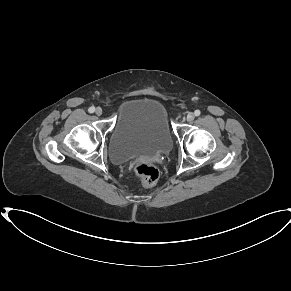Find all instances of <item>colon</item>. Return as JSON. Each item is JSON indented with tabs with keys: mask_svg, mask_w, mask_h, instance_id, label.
Instances as JSON below:
<instances>
[{
	"mask_svg": "<svg viewBox=\"0 0 291 291\" xmlns=\"http://www.w3.org/2000/svg\"><path fill=\"white\" fill-rule=\"evenodd\" d=\"M135 173L142 179L147 186L154 185L159 179V170L152 165L138 163L134 168Z\"/></svg>",
	"mask_w": 291,
	"mask_h": 291,
	"instance_id": "1",
	"label": "colon"
}]
</instances>
